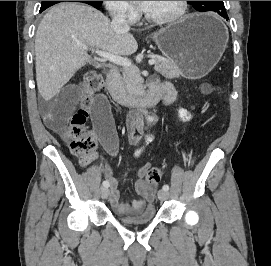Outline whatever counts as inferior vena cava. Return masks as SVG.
I'll return each instance as SVG.
<instances>
[{
	"label": "inferior vena cava",
	"instance_id": "602c4592",
	"mask_svg": "<svg viewBox=\"0 0 271 266\" xmlns=\"http://www.w3.org/2000/svg\"><path fill=\"white\" fill-rule=\"evenodd\" d=\"M111 26L116 33L128 32L130 29L129 24L126 20L125 13L122 11L117 12L113 16Z\"/></svg>",
	"mask_w": 271,
	"mask_h": 266
}]
</instances>
